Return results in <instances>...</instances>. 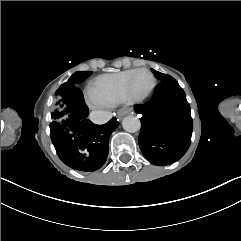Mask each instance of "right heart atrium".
I'll use <instances>...</instances> for the list:
<instances>
[{
  "label": "right heart atrium",
  "mask_w": 241,
  "mask_h": 241,
  "mask_svg": "<svg viewBox=\"0 0 241 241\" xmlns=\"http://www.w3.org/2000/svg\"><path fill=\"white\" fill-rule=\"evenodd\" d=\"M93 104V107H102L104 106L103 104H100L98 102H91Z\"/></svg>",
  "instance_id": "obj_1"
}]
</instances>
